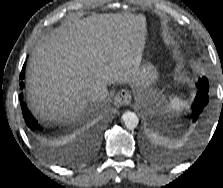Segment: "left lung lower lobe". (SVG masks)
I'll use <instances>...</instances> for the list:
<instances>
[{"label":"left lung lower lobe","mask_w":223,"mask_h":188,"mask_svg":"<svg viewBox=\"0 0 223 188\" xmlns=\"http://www.w3.org/2000/svg\"><path fill=\"white\" fill-rule=\"evenodd\" d=\"M209 101L208 91L199 89L192 105V121L196 122L199 115L203 112Z\"/></svg>","instance_id":"left-lung-lower-lobe-1"}]
</instances>
